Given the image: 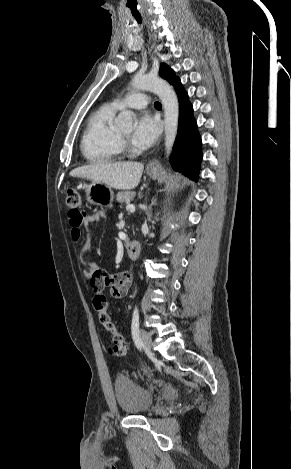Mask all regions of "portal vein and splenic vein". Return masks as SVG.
<instances>
[{
	"instance_id": "obj_1",
	"label": "portal vein and splenic vein",
	"mask_w": 291,
	"mask_h": 469,
	"mask_svg": "<svg viewBox=\"0 0 291 469\" xmlns=\"http://www.w3.org/2000/svg\"><path fill=\"white\" fill-rule=\"evenodd\" d=\"M126 209H127L128 211L133 212V211H135V206L132 205V204H128V205L126 206Z\"/></svg>"
}]
</instances>
